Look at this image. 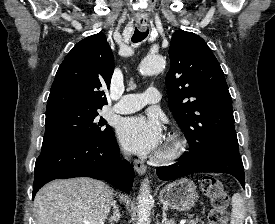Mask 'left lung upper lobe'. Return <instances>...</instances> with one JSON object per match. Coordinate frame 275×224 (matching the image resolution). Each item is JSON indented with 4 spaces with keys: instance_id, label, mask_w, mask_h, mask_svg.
Listing matches in <instances>:
<instances>
[{
    "instance_id": "1",
    "label": "left lung upper lobe",
    "mask_w": 275,
    "mask_h": 224,
    "mask_svg": "<svg viewBox=\"0 0 275 224\" xmlns=\"http://www.w3.org/2000/svg\"><path fill=\"white\" fill-rule=\"evenodd\" d=\"M169 55V109L190 148H238L231 96L211 49L200 36L180 30L172 35Z\"/></svg>"
}]
</instances>
